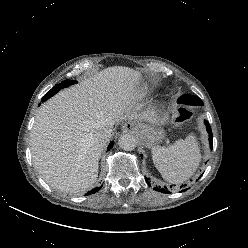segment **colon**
Wrapping results in <instances>:
<instances>
[{
	"label": "colon",
	"mask_w": 248,
	"mask_h": 248,
	"mask_svg": "<svg viewBox=\"0 0 248 248\" xmlns=\"http://www.w3.org/2000/svg\"><path fill=\"white\" fill-rule=\"evenodd\" d=\"M192 111H190L187 108H181L180 110V116H179V121H185L188 120L192 117Z\"/></svg>",
	"instance_id": "1"
}]
</instances>
